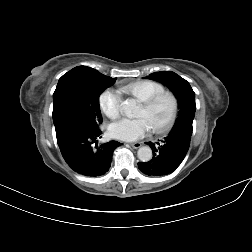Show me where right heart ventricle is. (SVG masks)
Returning a JSON list of instances; mask_svg holds the SVG:
<instances>
[{
    "mask_svg": "<svg viewBox=\"0 0 252 252\" xmlns=\"http://www.w3.org/2000/svg\"><path fill=\"white\" fill-rule=\"evenodd\" d=\"M122 91L132 95L139 101L143 102L151 96L165 90V87L154 81H137L121 87Z\"/></svg>",
    "mask_w": 252,
    "mask_h": 252,
    "instance_id": "e07e8e85",
    "label": "right heart ventricle"
}]
</instances>
